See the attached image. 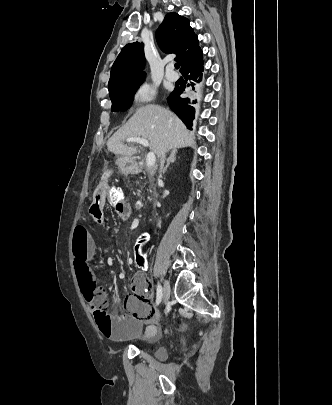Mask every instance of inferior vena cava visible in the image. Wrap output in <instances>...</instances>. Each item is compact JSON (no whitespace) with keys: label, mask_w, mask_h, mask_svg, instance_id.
I'll use <instances>...</instances> for the list:
<instances>
[{"label":"inferior vena cava","mask_w":332,"mask_h":405,"mask_svg":"<svg viewBox=\"0 0 332 405\" xmlns=\"http://www.w3.org/2000/svg\"><path fill=\"white\" fill-rule=\"evenodd\" d=\"M164 162H165V154L162 155L161 160H160V175L163 171L162 169H163Z\"/></svg>","instance_id":"obj_1"}]
</instances>
